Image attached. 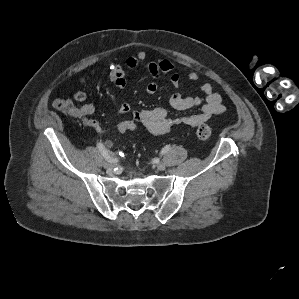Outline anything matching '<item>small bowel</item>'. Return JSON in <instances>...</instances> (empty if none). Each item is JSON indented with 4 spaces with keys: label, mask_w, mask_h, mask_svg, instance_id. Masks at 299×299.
I'll list each match as a JSON object with an SVG mask.
<instances>
[{
    "label": "small bowel",
    "mask_w": 299,
    "mask_h": 299,
    "mask_svg": "<svg viewBox=\"0 0 299 299\" xmlns=\"http://www.w3.org/2000/svg\"><path fill=\"white\" fill-rule=\"evenodd\" d=\"M123 62L124 65L116 64L108 73L109 82L114 84L120 90L121 94L124 93L126 87L127 70L135 69L140 65H143L151 77L144 88L146 93L153 94L157 90V79L161 75H168L174 88H178L179 86L180 76L173 71L174 65L169 59L150 61L148 60L147 52L140 51L134 56L125 58ZM188 79L196 82L199 76L196 72H190ZM201 90L204 93V97H184L179 93H174L169 99V107L173 111H187L199 107L200 111L197 113L177 117L171 115L168 109L162 107L132 110L126 101L121 102L118 107V113H130L131 118L156 136L167 134L177 126L190 129L208 121L214 115L224 113L226 110L221 95L214 92L210 83L203 84ZM74 99L78 102H83L86 100V94L83 91H76ZM80 108L83 115H92L95 111L94 106L89 103L82 105ZM87 125L97 132H101V126L95 120H89ZM105 146L111 149L113 146L112 141L106 140Z\"/></svg>",
    "instance_id": "obj_1"
}]
</instances>
